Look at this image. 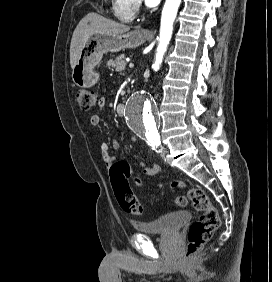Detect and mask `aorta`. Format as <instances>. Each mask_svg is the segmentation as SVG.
<instances>
[{
  "label": "aorta",
  "mask_w": 272,
  "mask_h": 282,
  "mask_svg": "<svg viewBox=\"0 0 272 282\" xmlns=\"http://www.w3.org/2000/svg\"><path fill=\"white\" fill-rule=\"evenodd\" d=\"M181 0H166L162 10L159 43L155 62L158 69L172 37L175 21ZM125 118L128 127L136 134L148 139H160L158 130V110L149 88L141 87L130 95L126 104Z\"/></svg>",
  "instance_id": "1"
}]
</instances>
